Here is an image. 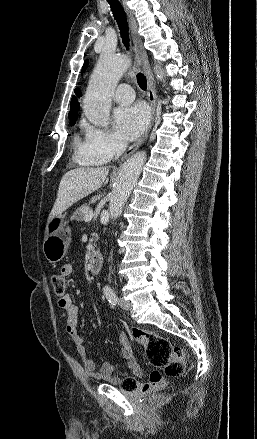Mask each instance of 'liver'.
<instances>
[{"label":"liver","instance_id":"1","mask_svg":"<svg viewBox=\"0 0 257 439\" xmlns=\"http://www.w3.org/2000/svg\"><path fill=\"white\" fill-rule=\"evenodd\" d=\"M108 173L109 170L104 167H79L66 172L60 181L57 199L48 221L106 184Z\"/></svg>","mask_w":257,"mask_h":439}]
</instances>
